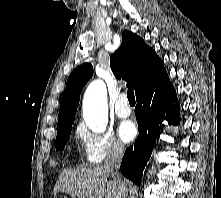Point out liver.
<instances>
[{
    "label": "liver",
    "instance_id": "liver-1",
    "mask_svg": "<svg viewBox=\"0 0 221 198\" xmlns=\"http://www.w3.org/2000/svg\"><path fill=\"white\" fill-rule=\"evenodd\" d=\"M110 173L103 167L66 169L60 174L54 195L64 192L72 198H126L127 188L116 180L108 181Z\"/></svg>",
    "mask_w": 221,
    "mask_h": 198
}]
</instances>
